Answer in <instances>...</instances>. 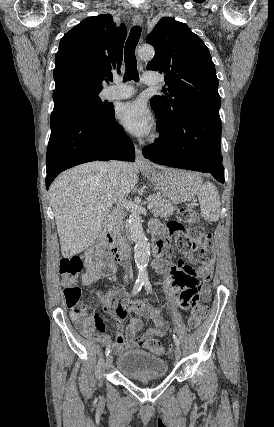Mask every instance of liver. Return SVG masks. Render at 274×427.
Returning a JSON list of instances; mask_svg holds the SVG:
<instances>
[{"label": "liver", "mask_w": 274, "mask_h": 427, "mask_svg": "<svg viewBox=\"0 0 274 427\" xmlns=\"http://www.w3.org/2000/svg\"><path fill=\"white\" fill-rule=\"evenodd\" d=\"M120 172L107 162H88L60 174L49 188L63 257L84 251L96 239L113 204L133 192L138 176L134 164L119 162ZM166 170L161 166H155Z\"/></svg>", "instance_id": "1"}]
</instances>
